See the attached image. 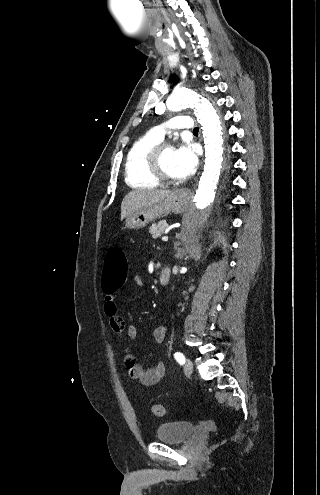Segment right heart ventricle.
<instances>
[{
  "label": "right heart ventricle",
  "instance_id": "right-heart-ventricle-1",
  "mask_svg": "<svg viewBox=\"0 0 320 495\" xmlns=\"http://www.w3.org/2000/svg\"><path fill=\"white\" fill-rule=\"evenodd\" d=\"M160 140L151 133L138 138L129 148L125 164V181L132 188L152 189L159 181L150 173L147 166V154Z\"/></svg>",
  "mask_w": 320,
  "mask_h": 495
}]
</instances>
